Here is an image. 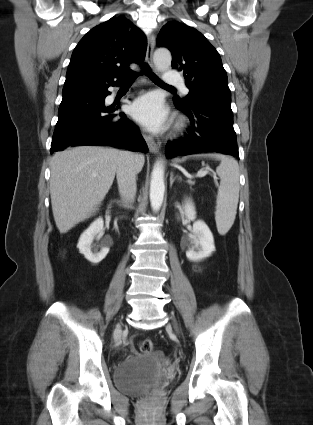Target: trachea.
Segmentation results:
<instances>
[{
  "instance_id": "obj_1",
  "label": "trachea",
  "mask_w": 313,
  "mask_h": 425,
  "mask_svg": "<svg viewBox=\"0 0 313 425\" xmlns=\"http://www.w3.org/2000/svg\"><path fill=\"white\" fill-rule=\"evenodd\" d=\"M144 69L146 70V75L155 83V84H157V85H160V86H164V87H170V88H173L172 86H170V85H168V84H165L163 81H161L160 79H159V77L156 75V74H154L151 70H150V68H149V66L148 65H145L144 66ZM134 79L135 78H130L129 80H127V82H132V81H134Z\"/></svg>"
}]
</instances>
